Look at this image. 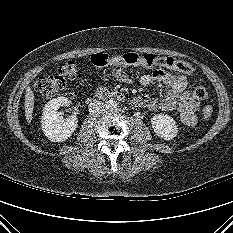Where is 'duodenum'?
Returning <instances> with one entry per match:
<instances>
[{"instance_id": "obj_1", "label": "duodenum", "mask_w": 233, "mask_h": 233, "mask_svg": "<svg viewBox=\"0 0 233 233\" xmlns=\"http://www.w3.org/2000/svg\"><path fill=\"white\" fill-rule=\"evenodd\" d=\"M97 98H110V97H116L119 100H123L124 96L122 93L113 90L111 88H100L96 92Z\"/></svg>"}]
</instances>
